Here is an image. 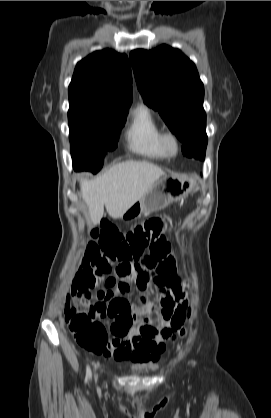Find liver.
I'll return each instance as SVG.
<instances>
[{
  "mask_svg": "<svg viewBox=\"0 0 271 418\" xmlns=\"http://www.w3.org/2000/svg\"><path fill=\"white\" fill-rule=\"evenodd\" d=\"M164 175L165 172L152 163L128 160L112 166L94 180H81V196L88 206L92 225L101 221L104 206L109 216L120 218Z\"/></svg>",
  "mask_w": 271,
  "mask_h": 418,
  "instance_id": "obj_1",
  "label": "liver"
}]
</instances>
